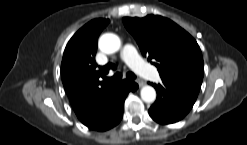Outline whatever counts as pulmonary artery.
<instances>
[{
  "label": "pulmonary artery",
  "mask_w": 247,
  "mask_h": 145,
  "mask_svg": "<svg viewBox=\"0 0 247 145\" xmlns=\"http://www.w3.org/2000/svg\"><path fill=\"white\" fill-rule=\"evenodd\" d=\"M121 58L131 69L143 77L151 80L159 78L158 72L144 63L133 46L125 45L121 51Z\"/></svg>",
  "instance_id": "1"
}]
</instances>
